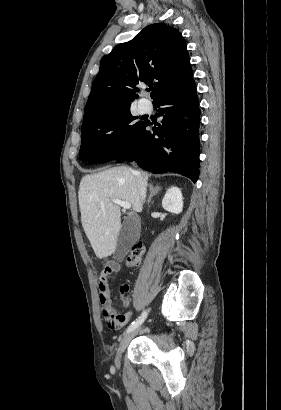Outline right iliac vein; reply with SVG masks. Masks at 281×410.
I'll list each match as a JSON object with an SVG mask.
<instances>
[{
    "label": "right iliac vein",
    "instance_id": "obj_1",
    "mask_svg": "<svg viewBox=\"0 0 281 410\" xmlns=\"http://www.w3.org/2000/svg\"><path fill=\"white\" fill-rule=\"evenodd\" d=\"M140 330H141V327H138L132 330L131 332L127 333L122 339V341L120 342L119 348L116 353V358H115V365L117 368L120 367V359H121L122 353L124 352L128 344L130 343V341L138 334Z\"/></svg>",
    "mask_w": 281,
    "mask_h": 410
}]
</instances>
